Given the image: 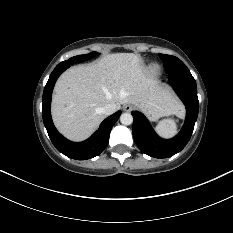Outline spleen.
<instances>
[{"label":"spleen","mask_w":233,"mask_h":233,"mask_svg":"<svg viewBox=\"0 0 233 233\" xmlns=\"http://www.w3.org/2000/svg\"><path fill=\"white\" fill-rule=\"evenodd\" d=\"M157 133L164 137L168 138L177 133V126L174 119H163L155 127Z\"/></svg>","instance_id":"spleen-1"}]
</instances>
